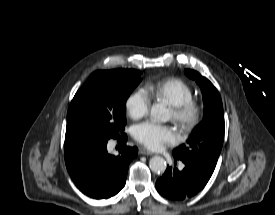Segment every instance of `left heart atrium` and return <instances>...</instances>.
<instances>
[{
	"instance_id": "39dd6f15",
	"label": "left heart atrium",
	"mask_w": 275,
	"mask_h": 215,
	"mask_svg": "<svg viewBox=\"0 0 275 215\" xmlns=\"http://www.w3.org/2000/svg\"><path fill=\"white\" fill-rule=\"evenodd\" d=\"M133 137L150 149H159L166 143L177 140L176 131L168 125L147 121L133 128Z\"/></svg>"
}]
</instances>
